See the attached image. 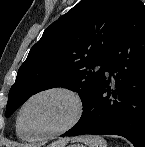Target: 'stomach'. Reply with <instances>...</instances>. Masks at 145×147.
I'll list each match as a JSON object with an SVG mask.
<instances>
[{
	"label": "stomach",
	"mask_w": 145,
	"mask_h": 147,
	"mask_svg": "<svg viewBox=\"0 0 145 147\" xmlns=\"http://www.w3.org/2000/svg\"><path fill=\"white\" fill-rule=\"evenodd\" d=\"M69 147H82V146H80V145H71Z\"/></svg>",
	"instance_id": "stomach-1"
}]
</instances>
